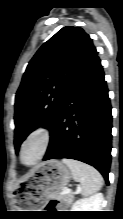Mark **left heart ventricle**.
I'll list each match as a JSON object with an SVG mask.
<instances>
[{
	"label": "left heart ventricle",
	"instance_id": "obj_1",
	"mask_svg": "<svg viewBox=\"0 0 123 219\" xmlns=\"http://www.w3.org/2000/svg\"><path fill=\"white\" fill-rule=\"evenodd\" d=\"M39 154V145L37 142H30L24 149L23 160L26 163L33 162Z\"/></svg>",
	"mask_w": 123,
	"mask_h": 219
}]
</instances>
